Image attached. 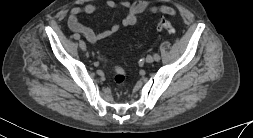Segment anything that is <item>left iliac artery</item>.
<instances>
[{"mask_svg": "<svg viewBox=\"0 0 253 138\" xmlns=\"http://www.w3.org/2000/svg\"><path fill=\"white\" fill-rule=\"evenodd\" d=\"M154 59H155V61H159L160 60V56H159L158 53L154 54Z\"/></svg>", "mask_w": 253, "mask_h": 138, "instance_id": "obj_1", "label": "left iliac artery"}]
</instances>
